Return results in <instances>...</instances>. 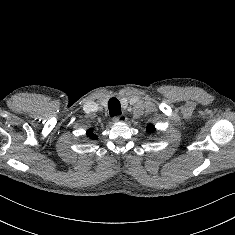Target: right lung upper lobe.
Wrapping results in <instances>:
<instances>
[{"mask_svg": "<svg viewBox=\"0 0 235 235\" xmlns=\"http://www.w3.org/2000/svg\"><path fill=\"white\" fill-rule=\"evenodd\" d=\"M87 136L91 137V139H93V140L97 139V136L93 135V130L92 129L87 131Z\"/></svg>", "mask_w": 235, "mask_h": 235, "instance_id": "cb5924a9", "label": "right lung upper lobe"}]
</instances>
